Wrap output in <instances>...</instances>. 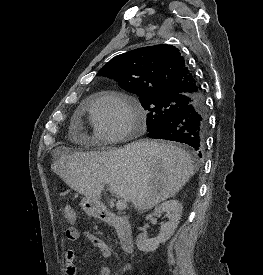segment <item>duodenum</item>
<instances>
[{
    "instance_id": "410a0bca",
    "label": "duodenum",
    "mask_w": 263,
    "mask_h": 275,
    "mask_svg": "<svg viewBox=\"0 0 263 275\" xmlns=\"http://www.w3.org/2000/svg\"><path fill=\"white\" fill-rule=\"evenodd\" d=\"M100 219L116 229L122 250L131 253L134 249V238L130 222L107 209L101 210Z\"/></svg>"
}]
</instances>
